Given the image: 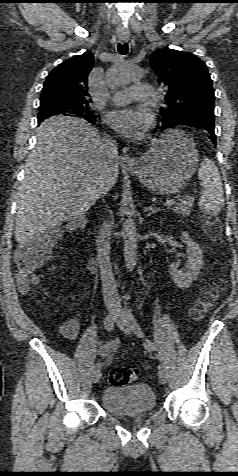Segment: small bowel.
Returning a JSON list of instances; mask_svg holds the SVG:
<instances>
[{"mask_svg":"<svg viewBox=\"0 0 238 476\" xmlns=\"http://www.w3.org/2000/svg\"><path fill=\"white\" fill-rule=\"evenodd\" d=\"M63 334L69 338L74 339L79 330V324L75 319L67 320L61 327ZM118 345V340H113L98 349V355L101 359L108 362L111 358L113 351L116 349Z\"/></svg>","mask_w":238,"mask_h":476,"instance_id":"small-bowel-1","label":"small bowel"}]
</instances>
